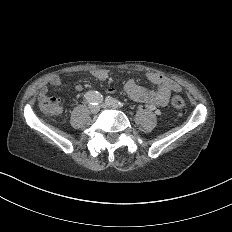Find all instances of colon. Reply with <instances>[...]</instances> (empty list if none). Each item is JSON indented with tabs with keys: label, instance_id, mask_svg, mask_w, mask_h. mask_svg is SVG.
I'll return each instance as SVG.
<instances>
[{
	"label": "colon",
	"instance_id": "colon-1",
	"mask_svg": "<svg viewBox=\"0 0 232 232\" xmlns=\"http://www.w3.org/2000/svg\"><path fill=\"white\" fill-rule=\"evenodd\" d=\"M171 102L174 107H185L184 94L181 90H174L173 97H171ZM53 98H46V96H41V101H39V106H41L42 113H59V108L56 105H52ZM174 113L185 114V109L174 108ZM48 119H61V114H48Z\"/></svg>",
	"mask_w": 232,
	"mask_h": 232
}]
</instances>
